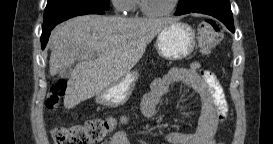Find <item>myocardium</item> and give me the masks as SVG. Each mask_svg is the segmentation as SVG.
Segmentation results:
<instances>
[{
    "instance_id": "obj_1",
    "label": "myocardium",
    "mask_w": 273,
    "mask_h": 144,
    "mask_svg": "<svg viewBox=\"0 0 273 144\" xmlns=\"http://www.w3.org/2000/svg\"><path fill=\"white\" fill-rule=\"evenodd\" d=\"M178 3L179 0H173L171 6L165 10H152L148 7L147 0H140V9L148 16H164L172 13L176 9Z\"/></svg>"
}]
</instances>
